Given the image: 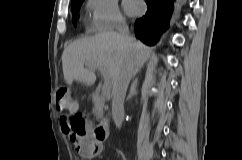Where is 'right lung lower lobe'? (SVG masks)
<instances>
[{"instance_id": "obj_1", "label": "right lung lower lobe", "mask_w": 242, "mask_h": 160, "mask_svg": "<svg viewBox=\"0 0 242 160\" xmlns=\"http://www.w3.org/2000/svg\"><path fill=\"white\" fill-rule=\"evenodd\" d=\"M146 15L136 20L135 34L144 43L154 45L168 28L174 0H145Z\"/></svg>"}]
</instances>
